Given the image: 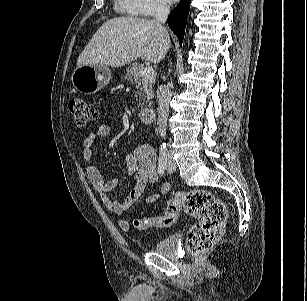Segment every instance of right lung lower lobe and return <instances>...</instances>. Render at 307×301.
I'll return each instance as SVG.
<instances>
[{"instance_id":"1","label":"right lung lower lobe","mask_w":307,"mask_h":301,"mask_svg":"<svg viewBox=\"0 0 307 301\" xmlns=\"http://www.w3.org/2000/svg\"><path fill=\"white\" fill-rule=\"evenodd\" d=\"M190 2L191 0H181L167 19V23L171 30L177 35L180 45L183 42L185 34V26L189 13Z\"/></svg>"}]
</instances>
